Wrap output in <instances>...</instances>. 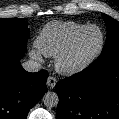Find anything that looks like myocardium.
<instances>
[{
	"label": "myocardium",
	"instance_id": "myocardium-1",
	"mask_svg": "<svg viewBox=\"0 0 119 119\" xmlns=\"http://www.w3.org/2000/svg\"><path fill=\"white\" fill-rule=\"evenodd\" d=\"M96 29L100 33V43L97 50L80 62H72L70 61V55L80 37L86 33L88 30ZM105 45V36L103 30L97 25H86L84 28L79 30L67 44V46L60 52V54L56 57V68L59 72L66 75H73L79 72H82L86 68H88L102 53Z\"/></svg>",
	"mask_w": 119,
	"mask_h": 119
}]
</instances>
